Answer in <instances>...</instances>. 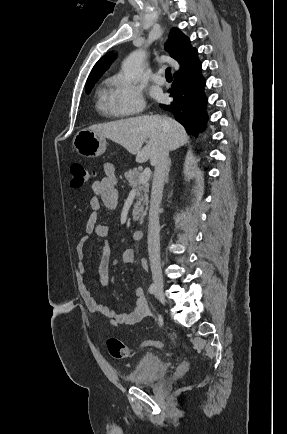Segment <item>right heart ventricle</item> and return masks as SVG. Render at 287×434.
<instances>
[{
	"label": "right heart ventricle",
	"mask_w": 287,
	"mask_h": 434,
	"mask_svg": "<svg viewBox=\"0 0 287 434\" xmlns=\"http://www.w3.org/2000/svg\"><path fill=\"white\" fill-rule=\"evenodd\" d=\"M107 85L110 84V80L106 82ZM109 92L110 90L106 89V88H102L99 91V99H98V107L99 109L106 113V114H110V115H117L113 109L111 108L110 102H109Z\"/></svg>",
	"instance_id": "obj_1"
}]
</instances>
